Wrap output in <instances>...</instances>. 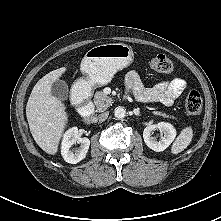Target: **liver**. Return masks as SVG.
Returning <instances> with one entry per match:
<instances>
[{"mask_svg": "<svg viewBox=\"0 0 221 221\" xmlns=\"http://www.w3.org/2000/svg\"><path fill=\"white\" fill-rule=\"evenodd\" d=\"M66 70L61 67L42 77L34 86L26 106V117L35 142L51 155L57 153L68 122L66 107L52 95L51 88Z\"/></svg>", "mask_w": 221, "mask_h": 221, "instance_id": "obj_1", "label": "liver"}]
</instances>
